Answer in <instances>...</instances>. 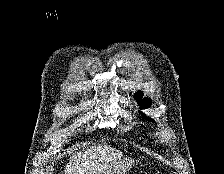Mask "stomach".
<instances>
[{
    "label": "stomach",
    "mask_w": 224,
    "mask_h": 174,
    "mask_svg": "<svg viewBox=\"0 0 224 174\" xmlns=\"http://www.w3.org/2000/svg\"><path fill=\"white\" fill-rule=\"evenodd\" d=\"M131 167L132 161L126 159L111 165L108 169L98 174H124L127 170H130Z\"/></svg>",
    "instance_id": "1"
}]
</instances>
